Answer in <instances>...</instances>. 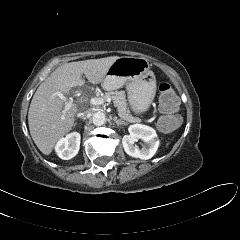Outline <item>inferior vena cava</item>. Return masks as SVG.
<instances>
[{
  "mask_svg": "<svg viewBox=\"0 0 240 240\" xmlns=\"http://www.w3.org/2000/svg\"><path fill=\"white\" fill-rule=\"evenodd\" d=\"M91 111L90 110H85L83 112L78 113V117L80 118H87L90 115Z\"/></svg>",
  "mask_w": 240,
  "mask_h": 240,
  "instance_id": "1",
  "label": "inferior vena cava"
}]
</instances>
